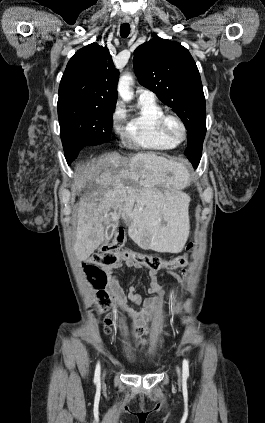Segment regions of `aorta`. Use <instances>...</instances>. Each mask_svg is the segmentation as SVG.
I'll list each match as a JSON object with an SVG mask.
<instances>
[{
  "label": "aorta",
  "mask_w": 265,
  "mask_h": 423,
  "mask_svg": "<svg viewBox=\"0 0 265 423\" xmlns=\"http://www.w3.org/2000/svg\"><path fill=\"white\" fill-rule=\"evenodd\" d=\"M132 82L133 78L129 73L123 74L119 79L117 90L124 101H130L133 98V93L130 88Z\"/></svg>",
  "instance_id": "obj_1"
}]
</instances>
